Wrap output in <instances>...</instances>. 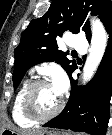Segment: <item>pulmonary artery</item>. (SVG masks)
<instances>
[{"label": "pulmonary artery", "instance_id": "1", "mask_svg": "<svg viewBox=\"0 0 112 135\" xmlns=\"http://www.w3.org/2000/svg\"><path fill=\"white\" fill-rule=\"evenodd\" d=\"M70 46L79 53H85L88 47V43L85 37L76 35L71 38Z\"/></svg>", "mask_w": 112, "mask_h": 135}]
</instances>
